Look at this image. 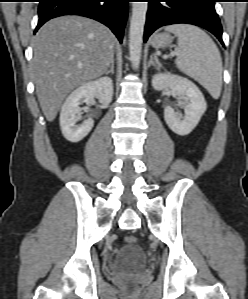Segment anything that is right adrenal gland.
<instances>
[{
    "mask_svg": "<svg viewBox=\"0 0 248 299\" xmlns=\"http://www.w3.org/2000/svg\"><path fill=\"white\" fill-rule=\"evenodd\" d=\"M109 73H114V59H112L109 69L105 72L106 75H108Z\"/></svg>",
    "mask_w": 248,
    "mask_h": 299,
    "instance_id": "obj_1",
    "label": "right adrenal gland"
}]
</instances>
